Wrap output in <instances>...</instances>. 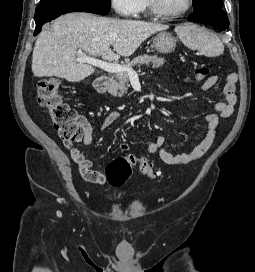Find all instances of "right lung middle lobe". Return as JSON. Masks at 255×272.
<instances>
[{"instance_id":"obj_1","label":"right lung middle lobe","mask_w":255,"mask_h":272,"mask_svg":"<svg viewBox=\"0 0 255 272\" xmlns=\"http://www.w3.org/2000/svg\"><path fill=\"white\" fill-rule=\"evenodd\" d=\"M42 4L79 6L100 15H106L111 8V0H41Z\"/></svg>"}]
</instances>
